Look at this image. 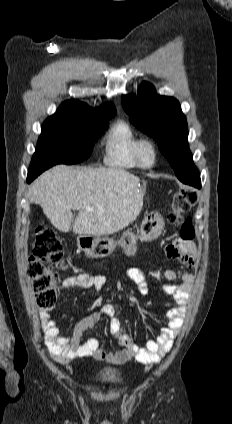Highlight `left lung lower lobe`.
<instances>
[{"instance_id": "left-lung-lower-lobe-1", "label": "left lung lower lobe", "mask_w": 232, "mask_h": 424, "mask_svg": "<svg viewBox=\"0 0 232 424\" xmlns=\"http://www.w3.org/2000/svg\"><path fill=\"white\" fill-rule=\"evenodd\" d=\"M181 182L185 184H189L191 186L201 188V181H200V175L199 173H194L191 176H188L187 178L181 180Z\"/></svg>"}]
</instances>
